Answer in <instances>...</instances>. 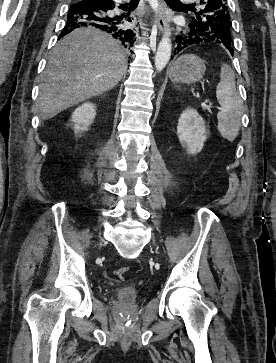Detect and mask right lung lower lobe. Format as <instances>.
Masks as SVG:
<instances>
[{
	"mask_svg": "<svg viewBox=\"0 0 276 363\" xmlns=\"http://www.w3.org/2000/svg\"><path fill=\"white\" fill-rule=\"evenodd\" d=\"M114 8L113 0H75L69 7L67 23L59 38L76 28L93 26L110 33L115 39L120 40L125 48L131 49L136 40V34L126 28L124 22H121L122 18L108 15V11Z\"/></svg>",
	"mask_w": 276,
	"mask_h": 363,
	"instance_id": "obj_1",
	"label": "right lung lower lobe"
}]
</instances>
